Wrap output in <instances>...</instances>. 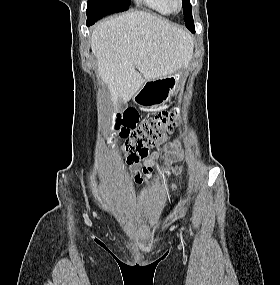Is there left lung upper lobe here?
<instances>
[{"instance_id": "left-lung-upper-lobe-1", "label": "left lung upper lobe", "mask_w": 280, "mask_h": 285, "mask_svg": "<svg viewBox=\"0 0 280 285\" xmlns=\"http://www.w3.org/2000/svg\"><path fill=\"white\" fill-rule=\"evenodd\" d=\"M182 6H183L185 25L189 30H191V28H194L193 17H192V6L189 0H182Z\"/></svg>"}]
</instances>
